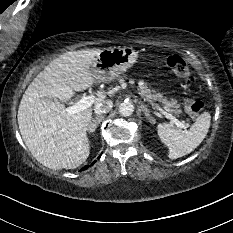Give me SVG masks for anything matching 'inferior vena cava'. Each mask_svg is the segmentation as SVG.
Instances as JSON below:
<instances>
[{
    "label": "inferior vena cava",
    "instance_id": "obj_1",
    "mask_svg": "<svg viewBox=\"0 0 233 233\" xmlns=\"http://www.w3.org/2000/svg\"><path fill=\"white\" fill-rule=\"evenodd\" d=\"M112 107H113V102L111 100H104L95 105L94 112L97 115L106 114L111 110Z\"/></svg>",
    "mask_w": 233,
    "mask_h": 233
}]
</instances>
